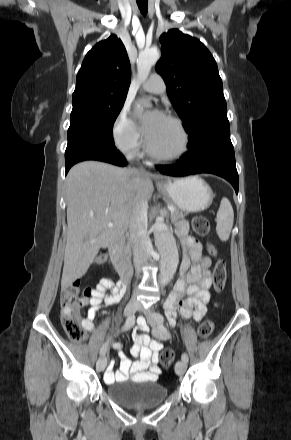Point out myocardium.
Returning a JSON list of instances; mask_svg holds the SVG:
<instances>
[{
	"mask_svg": "<svg viewBox=\"0 0 291 440\" xmlns=\"http://www.w3.org/2000/svg\"><path fill=\"white\" fill-rule=\"evenodd\" d=\"M164 117L167 118L168 120H170L175 125V127L178 129V131L181 135V149H180V151L174 155L161 154L151 146L148 138L145 139L146 151L150 157H152L153 159H155L157 161L175 162V161L183 158L187 154L188 149H189V134H188L184 124L182 123V121L179 118H177L176 116L170 115V114H166Z\"/></svg>",
	"mask_w": 291,
	"mask_h": 440,
	"instance_id": "obj_1",
	"label": "myocardium"
}]
</instances>
